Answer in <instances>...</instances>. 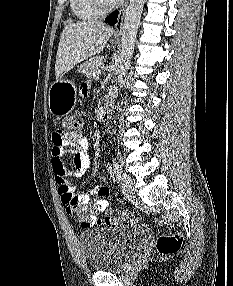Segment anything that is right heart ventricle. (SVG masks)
Returning a JSON list of instances; mask_svg holds the SVG:
<instances>
[{
  "label": "right heart ventricle",
  "instance_id": "1",
  "mask_svg": "<svg viewBox=\"0 0 233 286\" xmlns=\"http://www.w3.org/2000/svg\"><path fill=\"white\" fill-rule=\"evenodd\" d=\"M69 2L73 14L81 21L95 20L101 14L93 0H69Z\"/></svg>",
  "mask_w": 233,
  "mask_h": 286
}]
</instances>
